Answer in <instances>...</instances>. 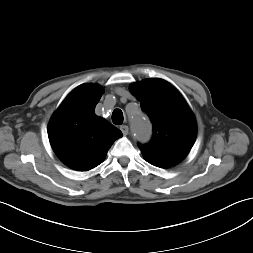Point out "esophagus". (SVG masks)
<instances>
[{"label":"esophagus","mask_w":253,"mask_h":253,"mask_svg":"<svg viewBox=\"0 0 253 253\" xmlns=\"http://www.w3.org/2000/svg\"><path fill=\"white\" fill-rule=\"evenodd\" d=\"M120 130L122 131L123 135H127L128 132H129V128H128L127 125H122V126L120 127Z\"/></svg>","instance_id":"34e87169"}]
</instances>
